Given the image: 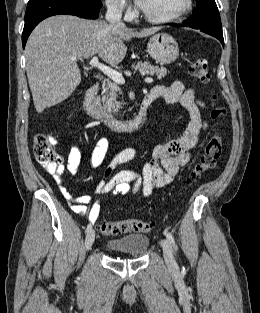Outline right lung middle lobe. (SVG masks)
Returning <instances> with one entry per match:
<instances>
[{
    "label": "right lung middle lobe",
    "mask_w": 260,
    "mask_h": 313,
    "mask_svg": "<svg viewBox=\"0 0 260 313\" xmlns=\"http://www.w3.org/2000/svg\"><path fill=\"white\" fill-rule=\"evenodd\" d=\"M87 1H91V2H94V3H101V0H87Z\"/></svg>",
    "instance_id": "obj_1"
}]
</instances>
